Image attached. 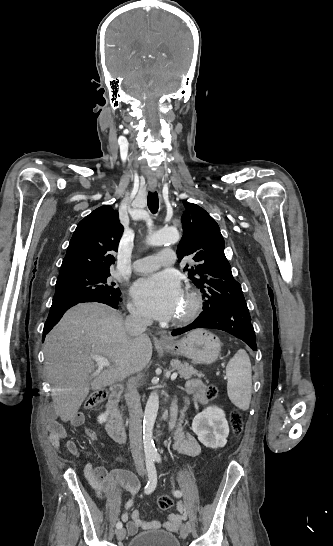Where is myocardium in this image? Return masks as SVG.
Instances as JSON below:
<instances>
[{
  "mask_svg": "<svg viewBox=\"0 0 333 546\" xmlns=\"http://www.w3.org/2000/svg\"><path fill=\"white\" fill-rule=\"evenodd\" d=\"M185 297L188 301V308L181 316L176 317L173 320L174 324L176 325H185L193 321L198 315L202 306V300L196 291L187 289L185 292Z\"/></svg>",
  "mask_w": 333,
  "mask_h": 546,
  "instance_id": "f54148a6",
  "label": "myocardium"
}]
</instances>
